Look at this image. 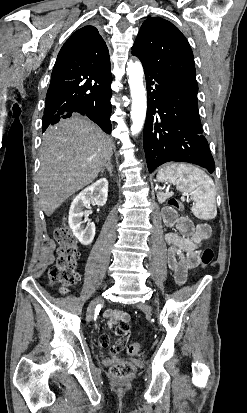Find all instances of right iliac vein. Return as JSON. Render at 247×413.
Listing matches in <instances>:
<instances>
[{
    "label": "right iliac vein",
    "mask_w": 247,
    "mask_h": 413,
    "mask_svg": "<svg viewBox=\"0 0 247 413\" xmlns=\"http://www.w3.org/2000/svg\"><path fill=\"white\" fill-rule=\"evenodd\" d=\"M103 301L102 297H97L95 298L89 305L88 309H87V315H86V321L90 322V320L93 318L94 315V311L96 309V307L101 304Z\"/></svg>",
    "instance_id": "1"
}]
</instances>
